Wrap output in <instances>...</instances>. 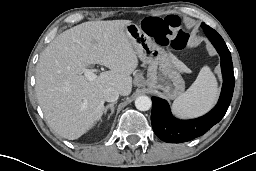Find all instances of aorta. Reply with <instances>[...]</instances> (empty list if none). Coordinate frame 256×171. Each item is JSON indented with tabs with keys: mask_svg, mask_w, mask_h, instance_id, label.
I'll use <instances>...</instances> for the list:
<instances>
[{
	"mask_svg": "<svg viewBox=\"0 0 256 171\" xmlns=\"http://www.w3.org/2000/svg\"><path fill=\"white\" fill-rule=\"evenodd\" d=\"M152 101L148 96H139L135 100V107L140 111H147L151 108Z\"/></svg>",
	"mask_w": 256,
	"mask_h": 171,
	"instance_id": "aorta-1",
	"label": "aorta"
}]
</instances>
